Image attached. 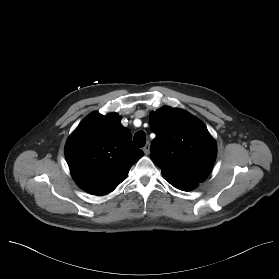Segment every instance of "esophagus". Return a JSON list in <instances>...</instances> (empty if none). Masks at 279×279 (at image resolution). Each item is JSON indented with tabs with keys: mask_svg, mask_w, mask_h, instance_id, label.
<instances>
[{
	"mask_svg": "<svg viewBox=\"0 0 279 279\" xmlns=\"http://www.w3.org/2000/svg\"><path fill=\"white\" fill-rule=\"evenodd\" d=\"M143 151L146 155L149 154V151H150V145L149 143H147L144 147H143Z\"/></svg>",
	"mask_w": 279,
	"mask_h": 279,
	"instance_id": "34e87169",
	"label": "esophagus"
}]
</instances>
